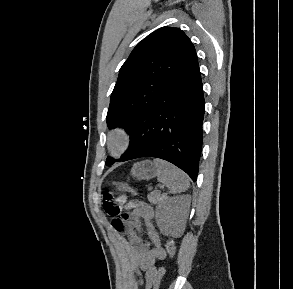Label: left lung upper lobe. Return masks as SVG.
I'll list each match as a JSON object with an SVG mask.
<instances>
[{
  "label": "left lung upper lobe",
  "mask_w": 293,
  "mask_h": 289,
  "mask_svg": "<svg viewBox=\"0 0 293 289\" xmlns=\"http://www.w3.org/2000/svg\"><path fill=\"white\" fill-rule=\"evenodd\" d=\"M197 61L192 42L179 28L162 27L148 35L120 69L106 117L108 127L120 126L129 133L143 112ZM113 163L108 157L106 165Z\"/></svg>",
  "instance_id": "5c2ea615"
}]
</instances>
